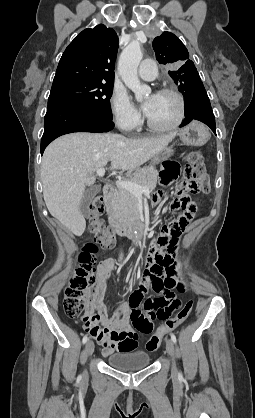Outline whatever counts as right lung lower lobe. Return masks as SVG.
<instances>
[{"mask_svg": "<svg viewBox=\"0 0 255 418\" xmlns=\"http://www.w3.org/2000/svg\"><path fill=\"white\" fill-rule=\"evenodd\" d=\"M112 120H105L92 112L71 105L48 106L41 139V154L57 137L73 132L102 133L112 130Z\"/></svg>", "mask_w": 255, "mask_h": 418, "instance_id": "98d812e1", "label": "right lung lower lobe"}]
</instances>
